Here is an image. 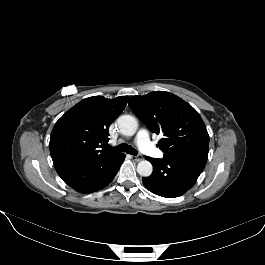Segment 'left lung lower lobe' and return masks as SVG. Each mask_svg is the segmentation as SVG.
Segmentation results:
<instances>
[{
    "instance_id": "obj_1",
    "label": "left lung lower lobe",
    "mask_w": 265,
    "mask_h": 265,
    "mask_svg": "<svg viewBox=\"0 0 265 265\" xmlns=\"http://www.w3.org/2000/svg\"><path fill=\"white\" fill-rule=\"evenodd\" d=\"M209 147H199L164 155L162 159L146 157L153 165L151 176L143 178L145 187L152 193L174 198L183 195L202 173Z\"/></svg>"
}]
</instances>
